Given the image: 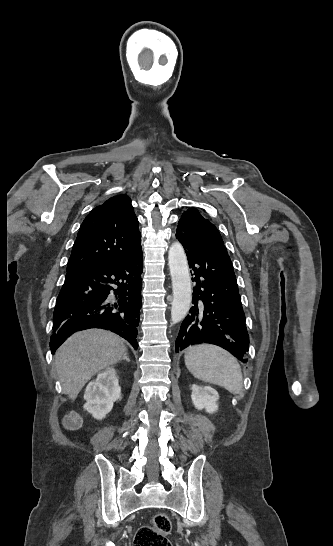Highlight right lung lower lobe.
Returning <instances> with one entry per match:
<instances>
[{
    "label": "right lung lower lobe",
    "mask_w": 333,
    "mask_h": 546,
    "mask_svg": "<svg viewBox=\"0 0 333 546\" xmlns=\"http://www.w3.org/2000/svg\"><path fill=\"white\" fill-rule=\"evenodd\" d=\"M142 271L140 248L128 259L68 272L53 315L52 353L74 332L90 328L110 330L137 349Z\"/></svg>",
    "instance_id": "98d812e1"
}]
</instances>
